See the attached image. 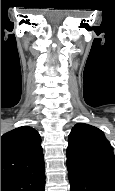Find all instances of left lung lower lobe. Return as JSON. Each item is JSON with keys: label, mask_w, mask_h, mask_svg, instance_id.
<instances>
[{"label": "left lung lower lobe", "mask_w": 115, "mask_h": 191, "mask_svg": "<svg viewBox=\"0 0 115 191\" xmlns=\"http://www.w3.org/2000/svg\"><path fill=\"white\" fill-rule=\"evenodd\" d=\"M70 191H115V181L68 166Z\"/></svg>", "instance_id": "obj_1"}]
</instances>
